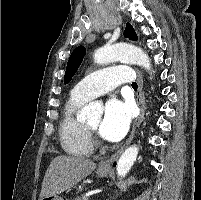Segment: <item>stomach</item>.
<instances>
[{
    "label": "stomach",
    "instance_id": "stomach-1",
    "mask_svg": "<svg viewBox=\"0 0 201 200\" xmlns=\"http://www.w3.org/2000/svg\"><path fill=\"white\" fill-rule=\"evenodd\" d=\"M109 172H110L109 170L98 169L97 175L99 177H106L109 174ZM41 200H63V198L58 195H53V196L44 197Z\"/></svg>",
    "mask_w": 201,
    "mask_h": 200
}]
</instances>
